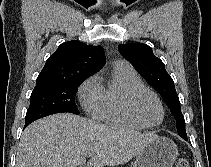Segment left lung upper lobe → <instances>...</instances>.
Returning <instances> with one entry per match:
<instances>
[{
	"label": "left lung upper lobe",
	"instance_id": "5c2ea615",
	"mask_svg": "<svg viewBox=\"0 0 211 167\" xmlns=\"http://www.w3.org/2000/svg\"><path fill=\"white\" fill-rule=\"evenodd\" d=\"M118 49L140 75L160 93L176 118L177 133L180 136H187L179 97L164 63L153 54L151 47L143 43L120 44Z\"/></svg>",
	"mask_w": 211,
	"mask_h": 167
}]
</instances>
